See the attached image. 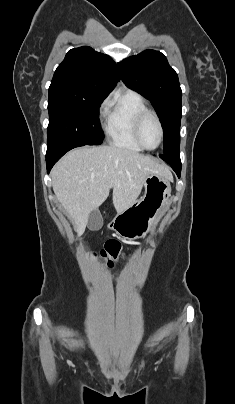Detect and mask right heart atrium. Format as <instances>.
I'll return each instance as SVG.
<instances>
[{"label":"right heart atrium","mask_w":235,"mask_h":404,"mask_svg":"<svg viewBox=\"0 0 235 404\" xmlns=\"http://www.w3.org/2000/svg\"><path fill=\"white\" fill-rule=\"evenodd\" d=\"M108 106H109V101H108V99H105L99 106L100 113L104 114L107 111Z\"/></svg>","instance_id":"right-heart-atrium-1"}]
</instances>
